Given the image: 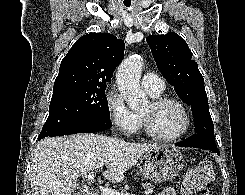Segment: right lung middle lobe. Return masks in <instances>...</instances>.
<instances>
[{
	"instance_id": "dd1d6c3e",
	"label": "right lung middle lobe",
	"mask_w": 245,
	"mask_h": 195,
	"mask_svg": "<svg viewBox=\"0 0 245 195\" xmlns=\"http://www.w3.org/2000/svg\"><path fill=\"white\" fill-rule=\"evenodd\" d=\"M105 89V87L71 88L53 92L49 116L39 138H45L90 118H110Z\"/></svg>"
}]
</instances>
